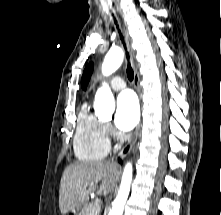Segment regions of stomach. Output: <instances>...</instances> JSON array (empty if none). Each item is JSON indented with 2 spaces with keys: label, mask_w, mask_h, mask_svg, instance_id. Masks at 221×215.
I'll use <instances>...</instances> for the list:
<instances>
[{
  "label": "stomach",
  "mask_w": 221,
  "mask_h": 215,
  "mask_svg": "<svg viewBox=\"0 0 221 215\" xmlns=\"http://www.w3.org/2000/svg\"><path fill=\"white\" fill-rule=\"evenodd\" d=\"M68 215H82V212L79 213V211L75 209V210L69 211V212H68Z\"/></svg>",
  "instance_id": "obj_1"
}]
</instances>
